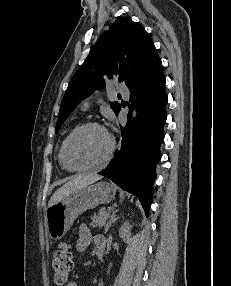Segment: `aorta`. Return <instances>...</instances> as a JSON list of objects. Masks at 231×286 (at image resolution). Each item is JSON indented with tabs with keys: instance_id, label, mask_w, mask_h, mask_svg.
<instances>
[{
	"instance_id": "obj_1",
	"label": "aorta",
	"mask_w": 231,
	"mask_h": 286,
	"mask_svg": "<svg viewBox=\"0 0 231 286\" xmlns=\"http://www.w3.org/2000/svg\"><path fill=\"white\" fill-rule=\"evenodd\" d=\"M136 114H137V111L134 110V111L132 112V121H134V118L136 117Z\"/></svg>"
}]
</instances>
